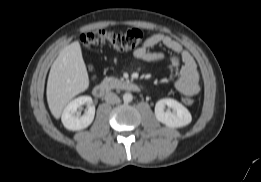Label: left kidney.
Wrapping results in <instances>:
<instances>
[{"instance_id": "5707ae66", "label": "left kidney", "mask_w": 261, "mask_h": 182, "mask_svg": "<svg viewBox=\"0 0 261 182\" xmlns=\"http://www.w3.org/2000/svg\"><path fill=\"white\" fill-rule=\"evenodd\" d=\"M169 109L165 111V107ZM156 119L171 128H181L191 123L192 116L188 109L174 99L165 98L159 100L155 105Z\"/></svg>"}]
</instances>
